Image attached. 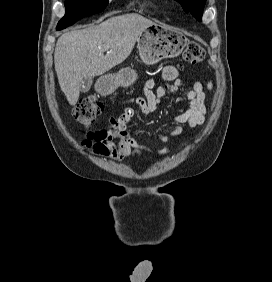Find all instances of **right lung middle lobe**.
<instances>
[{
    "label": "right lung middle lobe",
    "instance_id": "right-lung-middle-lobe-1",
    "mask_svg": "<svg viewBox=\"0 0 272 282\" xmlns=\"http://www.w3.org/2000/svg\"><path fill=\"white\" fill-rule=\"evenodd\" d=\"M108 0H66L65 16L59 21L57 28L64 29L83 17L103 11Z\"/></svg>",
    "mask_w": 272,
    "mask_h": 282
}]
</instances>
